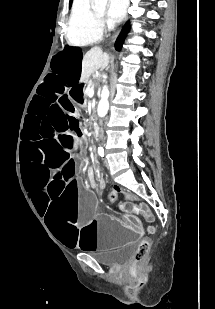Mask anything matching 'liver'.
<instances>
[{
  "label": "liver",
  "instance_id": "obj_1",
  "mask_svg": "<svg viewBox=\"0 0 215 309\" xmlns=\"http://www.w3.org/2000/svg\"><path fill=\"white\" fill-rule=\"evenodd\" d=\"M109 62L110 56L108 52H103L100 46H92L83 56L80 82H87L92 72H95L98 68L103 70L108 66Z\"/></svg>",
  "mask_w": 215,
  "mask_h": 309
}]
</instances>
